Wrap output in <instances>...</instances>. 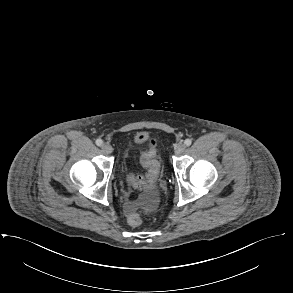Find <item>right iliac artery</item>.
I'll return each instance as SVG.
<instances>
[{"label": "right iliac artery", "instance_id": "obj_1", "mask_svg": "<svg viewBox=\"0 0 293 293\" xmlns=\"http://www.w3.org/2000/svg\"><path fill=\"white\" fill-rule=\"evenodd\" d=\"M96 144H97L98 146H101V145L103 144V141H102L101 139H97V140H96Z\"/></svg>", "mask_w": 293, "mask_h": 293}]
</instances>
